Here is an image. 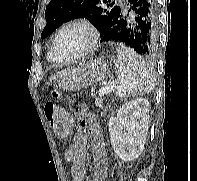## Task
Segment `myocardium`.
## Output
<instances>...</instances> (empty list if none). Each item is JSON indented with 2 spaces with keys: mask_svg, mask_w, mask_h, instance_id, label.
<instances>
[{
  "mask_svg": "<svg viewBox=\"0 0 197 181\" xmlns=\"http://www.w3.org/2000/svg\"><path fill=\"white\" fill-rule=\"evenodd\" d=\"M70 27H81L83 29H85L88 34H89V42L88 45L78 54H76L75 56H73L72 58L68 59V60H60L57 57L56 54V44L57 41L60 37V35L68 28ZM98 41H99V33L96 29V27L89 21L87 20H75V21H70L66 24H64L56 33L53 41H52V46H51V55H52V59L54 62L58 63V64H70L72 62H75L76 60H79L89 54H91L97 47L98 45Z\"/></svg>",
  "mask_w": 197,
  "mask_h": 181,
  "instance_id": "f54148a6",
  "label": "myocardium"
}]
</instances>
